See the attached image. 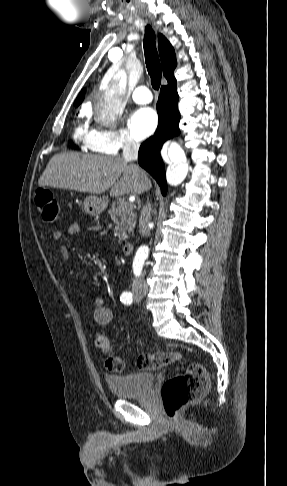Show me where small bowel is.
<instances>
[{
	"label": "small bowel",
	"mask_w": 287,
	"mask_h": 486,
	"mask_svg": "<svg viewBox=\"0 0 287 486\" xmlns=\"http://www.w3.org/2000/svg\"><path fill=\"white\" fill-rule=\"evenodd\" d=\"M82 229H83V226L80 223H74V224L70 225L67 228L66 231H62V230L54 231L53 234H52V239L55 242H61L62 239L64 238L65 234L74 235V234L79 233ZM60 253H61L62 259L64 260V262L67 264V266L71 270L72 278L76 281H79L80 276L77 273L72 271V267H71V263H70L69 249L65 244L60 245ZM92 303L95 307V309H94V320H95V322L98 325H102V326L110 324L113 320V311L104 304L103 297L98 295V294H94L92 296Z\"/></svg>",
	"instance_id": "small-bowel-1"
}]
</instances>
